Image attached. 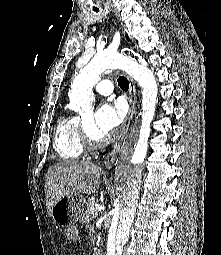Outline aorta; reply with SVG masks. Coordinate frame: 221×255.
<instances>
[{
  "label": "aorta",
  "mask_w": 221,
  "mask_h": 255,
  "mask_svg": "<svg viewBox=\"0 0 221 255\" xmlns=\"http://www.w3.org/2000/svg\"><path fill=\"white\" fill-rule=\"evenodd\" d=\"M124 66L122 55L115 52H103L93 56L74 78L69 91L70 108L82 117L93 115L94 94L92 88L100 80L101 74L107 69ZM134 78L143 89V99L149 106L156 102L155 84L147 70L140 67L132 72ZM147 152V137L140 138L134 148H122L116 162L115 188L117 206L111 221L108 235L107 255H122L123 247L129 239L136 204L139 196L142 164Z\"/></svg>",
  "instance_id": "aorta-1"
}]
</instances>
